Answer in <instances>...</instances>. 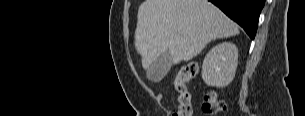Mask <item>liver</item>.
<instances>
[{"label": "liver", "instance_id": "1", "mask_svg": "<svg viewBox=\"0 0 305 116\" xmlns=\"http://www.w3.org/2000/svg\"><path fill=\"white\" fill-rule=\"evenodd\" d=\"M238 34V26L207 0H146L138 10L135 48L148 69L165 51L178 64L210 41Z\"/></svg>", "mask_w": 305, "mask_h": 116}]
</instances>
